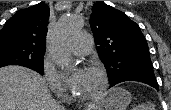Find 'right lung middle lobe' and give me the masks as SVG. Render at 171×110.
<instances>
[{
  "mask_svg": "<svg viewBox=\"0 0 171 110\" xmlns=\"http://www.w3.org/2000/svg\"><path fill=\"white\" fill-rule=\"evenodd\" d=\"M45 51L34 50L15 43H0V68L7 65H21L43 75Z\"/></svg>",
  "mask_w": 171,
  "mask_h": 110,
  "instance_id": "obj_1",
  "label": "right lung middle lobe"
}]
</instances>
